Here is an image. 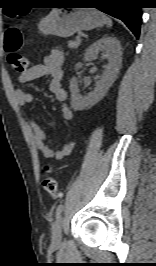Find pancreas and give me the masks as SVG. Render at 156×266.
<instances>
[{
  "label": "pancreas",
  "mask_w": 156,
  "mask_h": 266,
  "mask_svg": "<svg viewBox=\"0 0 156 266\" xmlns=\"http://www.w3.org/2000/svg\"><path fill=\"white\" fill-rule=\"evenodd\" d=\"M80 40H75V41H69L68 42V47L71 49L77 48L80 45Z\"/></svg>",
  "instance_id": "1"
}]
</instances>
